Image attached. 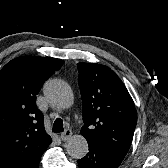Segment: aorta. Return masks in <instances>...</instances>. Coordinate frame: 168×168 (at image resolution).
<instances>
[{"mask_svg": "<svg viewBox=\"0 0 168 168\" xmlns=\"http://www.w3.org/2000/svg\"><path fill=\"white\" fill-rule=\"evenodd\" d=\"M43 91L49 103L57 108H70L74 103L73 91L65 81L49 80L44 85ZM66 151L72 158H83L88 153L87 140L82 135L71 136L66 142Z\"/></svg>", "mask_w": 168, "mask_h": 168, "instance_id": "obj_1", "label": "aorta"}]
</instances>
